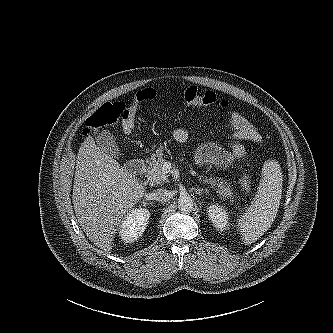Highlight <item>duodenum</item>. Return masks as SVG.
I'll list each match as a JSON object with an SVG mask.
<instances>
[{
    "label": "duodenum",
    "mask_w": 333,
    "mask_h": 333,
    "mask_svg": "<svg viewBox=\"0 0 333 333\" xmlns=\"http://www.w3.org/2000/svg\"><path fill=\"white\" fill-rule=\"evenodd\" d=\"M127 170L133 174H141L146 170V163L142 159H135L127 164Z\"/></svg>",
    "instance_id": "duodenum-1"
}]
</instances>
